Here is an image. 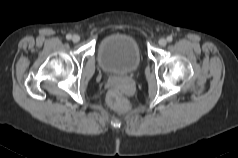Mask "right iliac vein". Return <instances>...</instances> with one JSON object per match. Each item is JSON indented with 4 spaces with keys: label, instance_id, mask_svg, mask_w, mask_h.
I'll return each instance as SVG.
<instances>
[{
    "label": "right iliac vein",
    "instance_id": "1",
    "mask_svg": "<svg viewBox=\"0 0 238 158\" xmlns=\"http://www.w3.org/2000/svg\"><path fill=\"white\" fill-rule=\"evenodd\" d=\"M72 41H73L74 43H77V42L80 41V37H79L78 35H73Z\"/></svg>",
    "mask_w": 238,
    "mask_h": 158
}]
</instances>
